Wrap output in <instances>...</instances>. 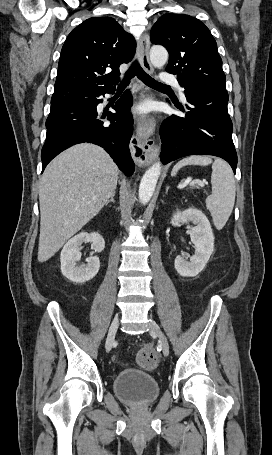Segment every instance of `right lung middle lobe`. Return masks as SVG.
<instances>
[{
    "label": "right lung middle lobe",
    "mask_w": 272,
    "mask_h": 455,
    "mask_svg": "<svg viewBox=\"0 0 272 455\" xmlns=\"http://www.w3.org/2000/svg\"><path fill=\"white\" fill-rule=\"evenodd\" d=\"M58 105H61V104H51V107H55V106H58Z\"/></svg>",
    "instance_id": "dd1d6c3e"
}]
</instances>
